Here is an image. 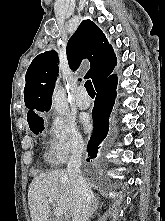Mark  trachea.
<instances>
[{
	"instance_id": "trachea-1",
	"label": "trachea",
	"mask_w": 165,
	"mask_h": 221,
	"mask_svg": "<svg viewBox=\"0 0 165 221\" xmlns=\"http://www.w3.org/2000/svg\"><path fill=\"white\" fill-rule=\"evenodd\" d=\"M85 88H86V90H87V92H88V94L90 95V96H94L95 95V90H94V88H93V85H92V82L90 81V80H87L86 82H85Z\"/></svg>"
}]
</instances>
